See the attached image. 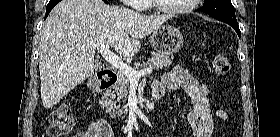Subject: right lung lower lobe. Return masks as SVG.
I'll list each match as a JSON object with an SVG mask.
<instances>
[{"label": "right lung lower lobe", "mask_w": 280, "mask_h": 137, "mask_svg": "<svg viewBox=\"0 0 280 137\" xmlns=\"http://www.w3.org/2000/svg\"><path fill=\"white\" fill-rule=\"evenodd\" d=\"M61 0H50V2L47 5V10H46V16L45 18L49 15L50 11L52 10V8ZM105 3H108L107 0H104Z\"/></svg>", "instance_id": "right-lung-lower-lobe-1"}]
</instances>
